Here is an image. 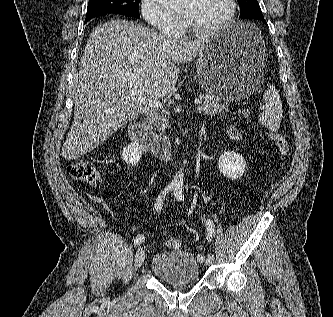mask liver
I'll use <instances>...</instances> for the list:
<instances>
[{
  "label": "liver",
  "mask_w": 333,
  "mask_h": 317,
  "mask_svg": "<svg viewBox=\"0 0 333 317\" xmlns=\"http://www.w3.org/2000/svg\"><path fill=\"white\" fill-rule=\"evenodd\" d=\"M207 39L183 41L121 19L95 27L73 84L75 112L63 158L74 160L90 152L147 112V103L129 98L132 87L152 100L172 92L178 65L196 58Z\"/></svg>",
  "instance_id": "liver-1"
}]
</instances>
